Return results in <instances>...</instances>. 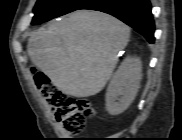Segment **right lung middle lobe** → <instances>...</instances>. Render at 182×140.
Masks as SVG:
<instances>
[{
  "label": "right lung middle lobe",
  "mask_w": 182,
  "mask_h": 140,
  "mask_svg": "<svg viewBox=\"0 0 182 140\" xmlns=\"http://www.w3.org/2000/svg\"><path fill=\"white\" fill-rule=\"evenodd\" d=\"M89 0H38L34 7L32 25H38L53 18L79 9Z\"/></svg>",
  "instance_id": "right-lung-middle-lobe-1"
}]
</instances>
